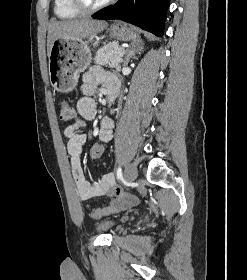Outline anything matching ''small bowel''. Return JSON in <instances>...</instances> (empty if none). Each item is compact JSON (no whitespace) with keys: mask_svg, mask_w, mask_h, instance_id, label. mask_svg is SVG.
I'll use <instances>...</instances> for the list:
<instances>
[{"mask_svg":"<svg viewBox=\"0 0 247 280\" xmlns=\"http://www.w3.org/2000/svg\"><path fill=\"white\" fill-rule=\"evenodd\" d=\"M104 85L108 92L117 91L119 82L117 78L105 72L100 67H92L83 75L81 85L82 97L77 101V115L72 124L66 127L64 135L68 139L67 153L70 159L71 174L77 188L79 197L83 201H88L95 197L109 196L112 201L109 205L99 208H90L89 214L92 218H101L110 213L119 212L133 207L139 203L138 198L124 194L115 187L113 173L104 174L97 182H90L85 178L81 165L80 155L82 146L86 141V136L82 133L87 128L88 122L96 116L97 105L94 95L99 85ZM113 119L109 116L100 121L98 138L103 139L105 144L109 143L113 137Z\"/></svg>","mask_w":247,"mask_h":280,"instance_id":"small-bowel-1","label":"small bowel"}]
</instances>
